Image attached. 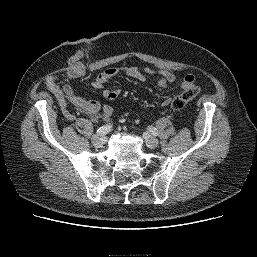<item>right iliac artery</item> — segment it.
Returning <instances> with one entry per match:
<instances>
[{"instance_id": "1", "label": "right iliac artery", "mask_w": 257, "mask_h": 257, "mask_svg": "<svg viewBox=\"0 0 257 257\" xmlns=\"http://www.w3.org/2000/svg\"><path fill=\"white\" fill-rule=\"evenodd\" d=\"M111 127H112L111 125L102 126V127L97 129L96 134L97 135L107 134L110 131Z\"/></svg>"}]
</instances>
